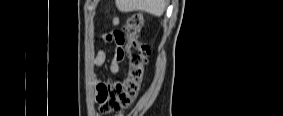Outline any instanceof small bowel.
Segmentation results:
<instances>
[{
	"label": "small bowel",
	"mask_w": 283,
	"mask_h": 116,
	"mask_svg": "<svg viewBox=\"0 0 283 116\" xmlns=\"http://www.w3.org/2000/svg\"><path fill=\"white\" fill-rule=\"evenodd\" d=\"M119 23H120V21H119L118 17H116V16L113 17V24L115 26H118ZM118 32H119L118 30H115L113 32H109V33L102 32V33L99 34V40L101 42H103L104 44H108L112 41H115L116 44H117L116 54L112 58V60L110 61V64H109V71L113 75H117L119 73L120 64H121V61L123 59V54H124L123 46L120 43L119 38L117 36ZM106 58H107L106 51L103 48H100L97 51L95 57L93 58L92 63H93L94 66L100 67V66L105 64Z\"/></svg>",
	"instance_id": "small-bowel-1"
}]
</instances>
